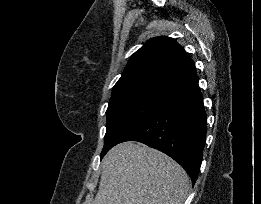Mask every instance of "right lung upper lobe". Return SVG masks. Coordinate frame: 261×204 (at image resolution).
Segmentation results:
<instances>
[{"label":"right lung upper lobe","mask_w":261,"mask_h":204,"mask_svg":"<svg viewBox=\"0 0 261 204\" xmlns=\"http://www.w3.org/2000/svg\"><path fill=\"white\" fill-rule=\"evenodd\" d=\"M196 76L195 64L173 38L155 37L130 58L112 95L134 91L168 93Z\"/></svg>","instance_id":"obj_1"}]
</instances>
